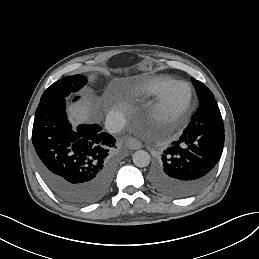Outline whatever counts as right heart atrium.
Returning <instances> with one entry per match:
<instances>
[{"mask_svg":"<svg viewBox=\"0 0 259 259\" xmlns=\"http://www.w3.org/2000/svg\"><path fill=\"white\" fill-rule=\"evenodd\" d=\"M131 110H132V103L127 97L120 96L113 99L112 114L114 116L118 117L123 121H126Z\"/></svg>","mask_w":259,"mask_h":259,"instance_id":"d8ad5b80","label":"right heart atrium"}]
</instances>
